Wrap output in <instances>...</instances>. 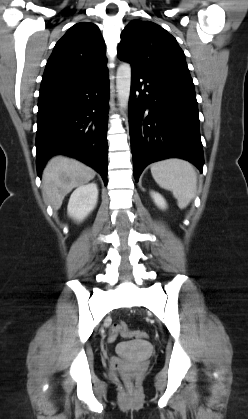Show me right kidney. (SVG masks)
<instances>
[{
    "label": "right kidney",
    "mask_w": 248,
    "mask_h": 419,
    "mask_svg": "<svg viewBox=\"0 0 248 419\" xmlns=\"http://www.w3.org/2000/svg\"><path fill=\"white\" fill-rule=\"evenodd\" d=\"M98 188L95 183L79 186L70 196L67 213L77 221L85 219L96 207Z\"/></svg>",
    "instance_id": "right-kidney-1"
}]
</instances>
